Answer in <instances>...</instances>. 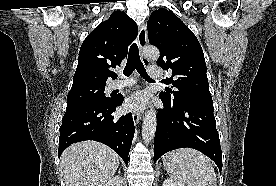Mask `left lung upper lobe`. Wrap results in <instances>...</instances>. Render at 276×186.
Listing matches in <instances>:
<instances>
[{
	"label": "left lung upper lobe",
	"mask_w": 276,
	"mask_h": 186,
	"mask_svg": "<svg viewBox=\"0 0 276 186\" xmlns=\"http://www.w3.org/2000/svg\"><path fill=\"white\" fill-rule=\"evenodd\" d=\"M149 42L160 51L157 64L172 71L175 90L161 95L176 107L213 104L202 47L192 31L172 12L154 11L147 22Z\"/></svg>",
	"instance_id": "5c2ea615"
}]
</instances>
